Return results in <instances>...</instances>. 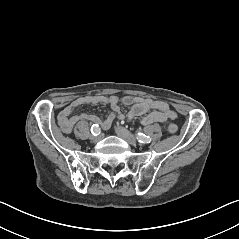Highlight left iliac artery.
Instances as JSON below:
<instances>
[{"label": "left iliac artery", "mask_w": 239, "mask_h": 239, "mask_svg": "<svg viewBox=\"0 0 239 239\" xmlns=\"http://www.w3.org/2000/svg\"><path fill=\"white\" fill-rule=\"evenodd\" d=\"M136 137H137V140L140 142V143H150L151 142V138L149 136H146L145 134L143 133H137L136 134Z\"/></svg>", "instance_id": "44dca946"}]
</instances>
